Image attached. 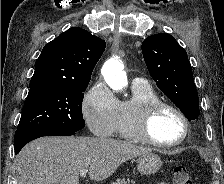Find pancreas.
<instances>
[{
	"instance_id": "cf45deb5",
	"label": "pancreas",
	"mask_w": 224,
	"mask_h": 184,
	"mask_svg": "<svg viewBox=\"0 0 224 184\" xmlns=\"http://www.w3.org/2000/svg\"><path fill=\"white\" fill-rule=\"evenodd\" d=\"M112 184H130L129 179H117L116 182H113Z\"/></svg>"
}]
</instances>
